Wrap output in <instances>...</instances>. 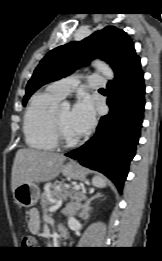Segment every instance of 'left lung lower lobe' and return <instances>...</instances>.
Wrapping results in <instances>:
<instances>
[{
	"mask_svg": "<svg viewBox=\"0 0 162 261\" xmlns=\"http://www.w3.org/2000/svg\"><path fill=\"white\" fill-rule=\"evenodd\" d=\"M107 91L110 113L100 119L90 140L65 155L105 174L122 193L144 117L145 85L140 60L109 82Z\"/></svg>",
	"mask_w": 162,
	"mask_h": 261,
	"instance_id": "left-lung-lower-lobe-1",
	"label": "left lung lower lobe"
}]
</instances>
